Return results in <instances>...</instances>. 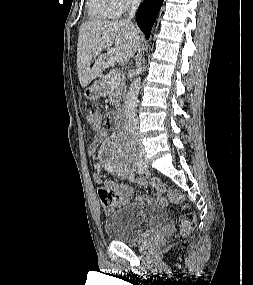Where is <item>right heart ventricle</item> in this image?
<instances>
[{
  "label": "right heart ventricle",
  "mask_w": 253,
  "mask_h": 285,
  "mask_svg": "<svg viewBox=\"0 0 253 285\" xmlns=\"http://www.w3.org/2000/svg\"><path fill=\"white\" fill-rule=\"evenodd\" d=\"M87 10L89 16L97 20L113 19L122 12L117 0H87Z\"/></svg>",
  "instance_id": "1"
}]
</instances>
